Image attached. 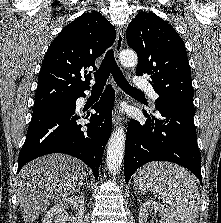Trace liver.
Wrapping results in <instances>:
<instances>
[{"label":"liver","mask_w":221,"mask_h":223,"mask_svg":"<svg viewBox=\"0 0 221 223\" xmlns=\"http://www.w3.org/2000/svg\"><path fill=\"white\" fill-rule=\"evenodd\" d=\"M85 179L83 163L65 154H49L26 164L17 177L24 221L33 223L47 208L77 193Z\"/></svg>","instance_id":"1"}]
</instances>
